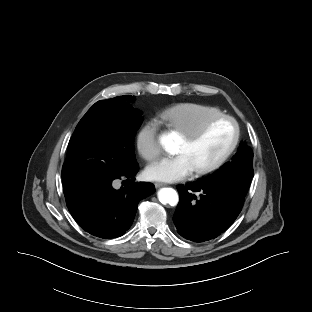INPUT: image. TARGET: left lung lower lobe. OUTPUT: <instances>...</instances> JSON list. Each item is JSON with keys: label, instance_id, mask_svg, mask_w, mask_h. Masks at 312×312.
<instances>
[{"label": "left lung lower lobe", "instance_id": "1", "mask_svg": "<svg viewBox=\"0 0 312 312\" xmlns=\"http://www.w3.org/2000/svg\"><path fill=\"white\" fill-rule=\"evenodd\" d=\"M180 201L173 216L177 232L203 242L223 233L239 215L245 195L224 181L201 179L179 186Z\"/></svg>", "mask_w": 312, "mask_h": 312}]
</instances>
